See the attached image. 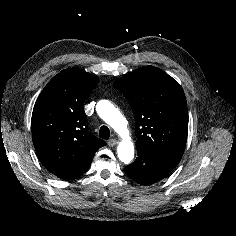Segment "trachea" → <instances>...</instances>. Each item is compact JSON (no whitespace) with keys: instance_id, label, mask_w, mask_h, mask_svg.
Returning a JSON list of instances; mask_svg holds the SVG:
<instances>
[{"instance_id":"obj_1","label":"trachea","mask_w":236,"mask_h":236,"mask_svg":"<svg viewBox=\"0 0 236 236\" xmlns=\"http://www.w3.org/2000/svg\"><path fill=\"white\" fill-rule=\"evenodd\" d=\"M99 137L108 140L110 137V130L107 126H102L99 130Z\"/></svg>"}]
</instances>
